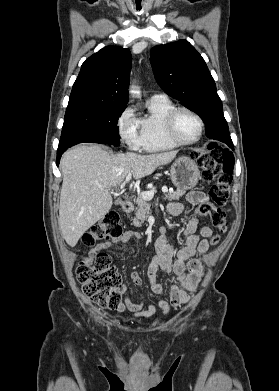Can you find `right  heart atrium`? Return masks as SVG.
Here are the masks:
<instances>
[{"label":"right heart atrium","instance_id":"1","mask_svg":"<svg viewBox=\"0 0 279 391\" xmlns=\"http://www.w3.org/2000/svg\"><path fill=\"white\" fill-rule=\"evenodd\" d=\"M116 127L121 141L130 149L137 150L139 145V120L131 106H126L118 115Z\"/></svg>","mask_w":279,"mask_h":391}]
</instances>
